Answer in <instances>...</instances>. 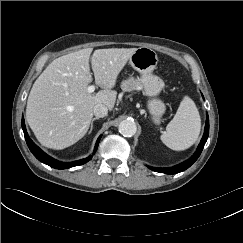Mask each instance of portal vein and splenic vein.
I'll return each mask as SVG.
<instances>
[{
  "mask_svg": "<svg viewBox=\"0 0 243 243\" xmlns=\"http://www.w3.org/2000/svg\"><path fill=\"white\" fill-rule=\"evenodd\" d=\"M94 91H95V86H94V85H90V86H88V88H87V92H88L89 94H92Z\"/></svg>",
  "mask_w": 243,
  "mask_h": 243,
  "instance_id": "18ae733b",
  "label": "portal vein and splenic vein"
}]
</instances>
